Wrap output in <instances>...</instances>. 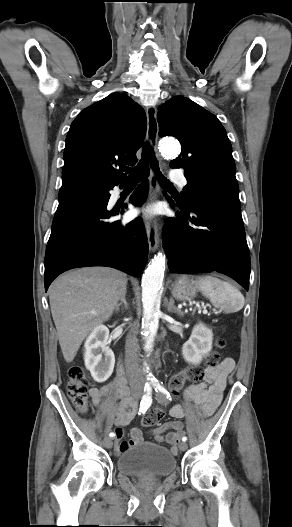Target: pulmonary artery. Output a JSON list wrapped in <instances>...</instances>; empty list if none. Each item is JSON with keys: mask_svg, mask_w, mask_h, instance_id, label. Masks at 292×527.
I'll list each match as a JSON object with an SVG mask.
<instances>
[{"mask_svg": "<svg viewBox=\"0 0 292 527\" xmlns=\"http://www.w3.org/2000/svg\"><path fill=\"white\" fill-rule=\"evenodd\" d=\"M170 178L173 181L178 182L181 186H185L187 184V180H186L185 176L179 170H172L170 172Z\"/></svg>", "mask_w": 292, "mask_h": 527, "instance_id": "e3ab8cb5", "label": "pulmonary artery"}]
</instances>
